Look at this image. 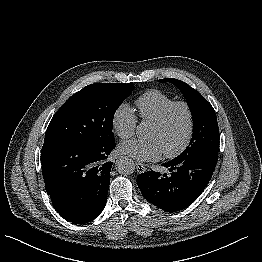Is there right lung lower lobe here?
<instances>
[{
	"mask_svg": "<svg viewBox=\"0 0 262 262\" xmlns=\"http://www.w3.org/2000/svg\"><path fill=\"white\" fill-rule=\"evenodd\" d=\"M115 141L104 144L46 142L41 164L46 191L54 208L69 222L84 224L104 209Z\"/></svg>",
	"mask_w": 262,
	"mask_h": 262,
	"instance_id": "right-lung-lower-lobe-1",
	"label": "right lung lower lobe"
}]
</instances>
